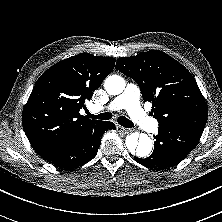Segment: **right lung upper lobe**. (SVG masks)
I'll return each instance as SVG.
<instances>
[{
    "instance_id": "obj_1",
    "label": "right lung upper lobe",
    "mask_w": 222,
    "mask_h": 222,
    "mask_svg": "<svg viewBox=\"0 0 222 222\" xmlns=\"http://www.w3.org/2000/svg\"><path fill=\"white\" fill-rule=\"evenodd\" d=\"M114 65L112 57L80 53L53 65L38 79L22 113L34 150L72 139L98 122L79 111Z\"/></svg>"
}]
</instances>
